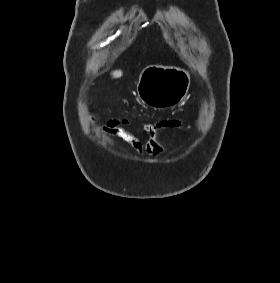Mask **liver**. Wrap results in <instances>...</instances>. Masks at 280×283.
Masks as SVG:
<instances>
[{
    "label": "liver",
    "instance_id": "liver-1",
    "mask_svg": "<svg viewBox=\"0 0 280 283\" xmlns=\"http://www.w3.org/2000/svg\"><path fill=\"white\" fill-rule=\"evenodd\" d=\"M122 71L121 70H116V71H113L112 72V76L114 77V78H120L121 76H122Z\"/></svg>",
    "mask_w": 280,
    "mask_h": 283
}]
</instances>
